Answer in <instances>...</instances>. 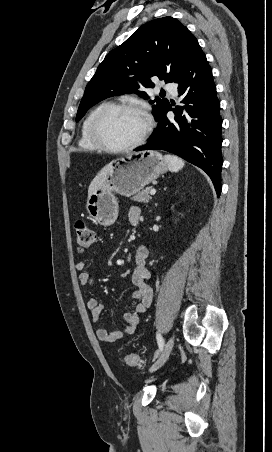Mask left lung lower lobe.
I'll use <instances>...</instances> for the list:
<instances>
[{
	"label": "left lung lower lobe",
	"instance_id": "left-lung-lower-lobe-1",
	"mask_svg": "<svg viewBox=\"0 0 272 452\" xmlns=\"http://www.w3.org/2000/svg\"><path fill=\"white\" fill-rule=\"evenodd\" d=\"M179 84L183 106L170 104L157 118L158 127L150 141L135 150L160 149L172 152L203 169L212 179L217 196L221 193V128L220 102L212 70L198 42L174 80ZM173 111L174 118L166 113Z\"/></svg>",
	"mask_w": 272,
	"mask_h": 452
}]
</instances>
